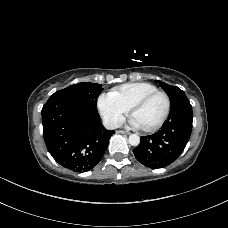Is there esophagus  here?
I'll return each mask as SVG.
<instances>
[{
    "label": "esophagus",
    "instance_id": "obj_1",
    "mask_svg": "<svg viewBox=\"0 0 228 228\" xmlns=\"http://www.w3.org/2000/svg\"><path fill=\"white\" fill-rule=\"evenodd\" d=\"M117 133H119V134H124V135H129L130 134V132H128V131H123V130H118V131H116Z\"/></svg>",
    "mask_w": 228,
    "mask_h": 228
}]
</instances>
